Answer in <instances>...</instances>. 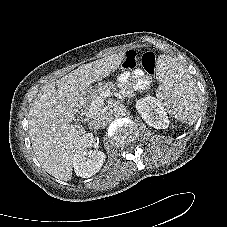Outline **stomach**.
I'll return each instance as SVG.
<instances>
[{
    "instance_id": "1",
    "label": "stomach",
    "mask_w": 227,
    "mask_h": 227,
    "mask_svg": "<svg viewBox=\"0 0 227 227\" xmlns=\"http://www.w3.org/2000/svg\"><path fill=\"white\" fill-rule=\"evenodd\" d=\"M91 88H86L83 92H82V96L83 97H88V95H89V90H90Z\"/></svg>"
}]
</instances>
